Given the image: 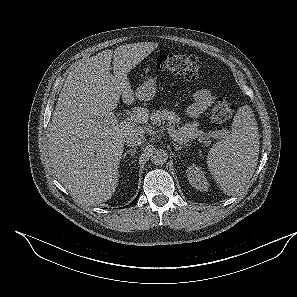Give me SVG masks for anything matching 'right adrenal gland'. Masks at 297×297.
Wrapping results in <instances>:
<instances>
[{"mask_svg":"<svg viewBox=\"0 0 297 297\" xmlns=\"http://www.w3.org/2000/svg\"><path fill=\"white\" fill-rule=\"evenodd\" d=\"M135 153H136V148L129 149V150L125 151V153L122 155V159H125L127 154H130L132 157H134Z\"/></svg>","mask_w":297,"mask_h":297,"instance_id":"obj_1","label":"right adrenal gland"}]
</instances>
